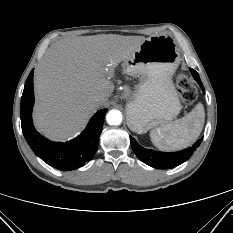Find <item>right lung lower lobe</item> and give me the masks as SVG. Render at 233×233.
Segmentation results:
<instances>
[{
  "label": "right lung lower lobe",
  "instance_id": "right-lung-lower-lobe-1",
  "mask_svg": "<svg viewBox=\"0 0 233 233\" xmlns=\"http://www.w3.org/2000/svg\"><path fill=\"white\" fill-rule=\"evenodd\" d=\"M34 104L33 70L30 72L21 97L20 118L22 132L33 152L48 165L69 171L83 166L94 157L107 109L99 110L89 121L85 130L75 139L55 143L41 136L32 123Z\"/></svg>",
  "mask_w": 233,
  "mask_h": 233
}]
</instances>
